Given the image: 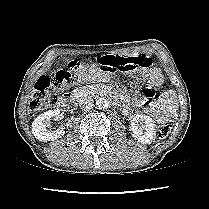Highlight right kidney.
<instances>
[{
    "mask_svg": "<svg viewBox=\"0 0 209 209\" xmlns=\"http://www.w3.org/2000/svg\"><path fill=\"white\" fill-rule=\"evenodd\" d=\"M60 116V110H49L40 114L32 123V134L35 136L36 139L39 141H53L58 138H61L65 131L63 129L58 130H48L47 127L48 122L52 118H56Z\"/></svg>",
    "mask_w": 209,
    "mask_h": 209,
    "instance_id": "right-kidney-1",
    "label": "right kidney"
}]
</instances>
